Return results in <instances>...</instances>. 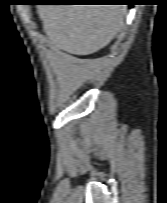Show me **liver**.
Returning <instances> with one entry per match:
<instances>
[{
	"mask_svg": "<svg viewBox=\"0 0 167 203\" xmlns=\"http://www.w3.org/2000/svg\"><path fill=\"white\" fill-rule=\"evenodd\" d=\"M44 31L58 49L89 55L107 46L124 25L125 5H39Z\"/></svg>",
	"mask_w": 167,
	"mask_h": 203,
	"instance_id": "obj_1",
	"label": "liver"
}]
</instances>
